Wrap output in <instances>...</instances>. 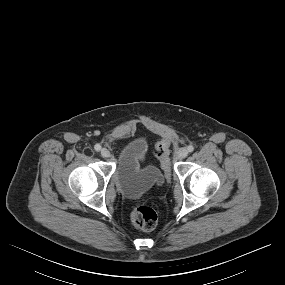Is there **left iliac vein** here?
I'll list each match as a JSON object with an SVG mask.
<instances>
[{
  "mask_svg": "<svg viewBox=\"0 0 285 285\" xmlns=\"http://www.w3.org/2000/svg\"><path fill=\"white\" fill-rule=\"evenodd\" d=\"M187 155H188V150L187 149H180L179 151H178V153H177V157L179 158V159H184L185 157H187Z\"/></svg>",
  "mask_w": 285,
  "mask_h": 285,
  "instance_id": "obj_1",
  "label": "left iliac vein"
}]
</instances>
